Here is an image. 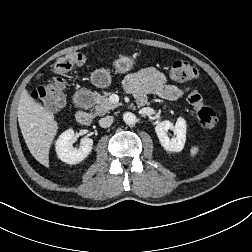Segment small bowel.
<instances>
[{
  "label": "small bowel",
  "mask_w": 252,
  "mask_h": 252,
  "mask_svg": "<svg viewBox=\"0 0 252 252\" xmlns=\"http://www.w3.org/2000/svg\"><path fill=\"white\" fill-rule=\"evenodd\" d=\"M124 87L140 105L145 103L149 95H157L167 100H176L184 94L181 88L170 84L162 72L152 67L127 76Z\"/></svg>",
  "instance_id": "obj_1"
}]
</instances>
